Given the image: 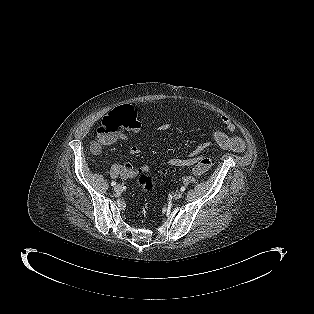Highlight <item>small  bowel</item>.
Returning a JSON list of instances; mask_svg holds the SVG:
<instances>
[{
    "label": "small bowel",
    "instance_id": "small-bowel-1",
    "mask_svg": "<svg viewBox=\"0 0 314 314\" xmlns=\"http://www.w3.org/2000/svg\"><path fill=\"white\" fill-rule=\"evenodd\" d=\"M222 125L225 127V130H215L213 133V139L217 146L221 150H229L234 152H242L245 149V143L244 141L237 137L232 135L231 133L234 130V125L232 121L227 117H222L221 119ZM171 127L170 123H161L158 125L157 129L159 131H166ZM139 131V127L132 130V132L137 133ZM117 140L122 141H128L129 136L125 133H121L118 135H115L112 140H110L107 143L102 144L101 146H108L116 142ZM209 144H204L198 147L196 150H194L189 156L185 158H179L174 157L169 160V164L174 167H189L195 165L198 160L200 159L201 152L207 148ZM141 152L140 147L138 146H132L129 149V154L131 156H135ZM143 168L145 171L148 170V167L146 165L139 166L137 168L133 167L130 163H125L123 165V172L122 175L125 178H131L139 174V169Z\"/></svg>",
    "mask_w": 314,
    "mask_h": 314
}]
</instances>
